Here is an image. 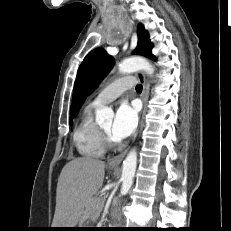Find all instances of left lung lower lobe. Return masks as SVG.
I'll list each match as a JSON object with an SVG mask.
<instances>
[{
	"label": "left lung lower lobe",
	"mask_w": 231,
	"mask_h": 231,
	"mask_svg": "<svg viewBox=\"0 0 231 231\" xmlns=\"http://www.w3.org/2000/svg\"><path fill=\"white\" fill-rule=\"evenodd\" d=\"M150 59H152V60H156V57L153 55Z\"/></svg>",
	"instance_id": "1"
}]
</instances>
